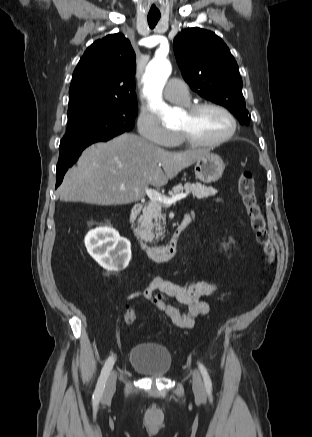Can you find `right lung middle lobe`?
<instances>
[{
    "mask_svg": "<svg viewBox=\"0 0 312 437\" xmlns=\"http://www.w3.org/2000/svg\"><path fill=\"white\" fill-rule=\"evenodd\" d=\"M136 114L137 102H88L71 106L67 113V132L60 142L59 150L67 151L79 144L130 131Z\"/></svg>",
    "mask_w": 312,
    "mask_h": 437,
    "instance_id": "dd1d6c3e",
    "label": "right lung middle lobe"
}]
</instances>
